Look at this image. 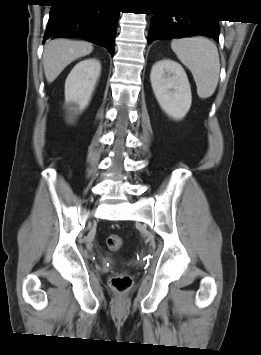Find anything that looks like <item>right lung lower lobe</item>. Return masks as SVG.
<instances>
[{"mask_svg": "<svg viewBox=\"0 0 261 355\" xmlns=\"http://www.w3.org/2000/svg\"><path fill=\"white\" fill-rule=\"evenodd\" d=\"M44 40L82 38L105 46L114 55L119 11L104 0H53Z\"/></svg>", "mask_w": 261, "mask_h": 355, "instance_id": "obj_1", "label": "right lung lower lobe"}]
</instances>
